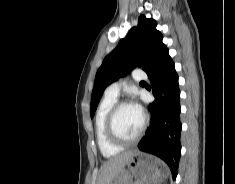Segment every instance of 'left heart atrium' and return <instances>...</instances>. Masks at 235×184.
Returning a JSON list of instances; mask_svg holds the SVG:
<instances>
[{"label": "left heart atrium", "mask_w": 235, "mask_h": 184, "mask_svg": "<svg viewBox=\"0 0 235 184\" xmlns=\"http://www.w3.org/2000/svg\"><path fill=\"white\" fill-rule=\"evenodd\" d=\"M131 107L138 113L142 114L143 110H142V107L139 103L137 102H134L132 103Z\"/></svg>", "instance_id": "39dd6f15"}]
</instances>
